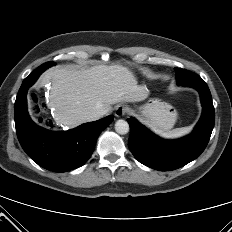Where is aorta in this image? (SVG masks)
<instances>
[{"instance_id":"aorta-1","label":"aorta","mask_w":232,"mask_h":232,"mask_svg":"<svg viewBox=\"0 0 232 232\" xmlns=\"http://www.w3.org/2000/svg\"><path fill=\"white\" fill-rule=\"evenodd\" d=\"M115 130L118 134H127L129 132V124L125 120H117L115 123Z\"/></svg>"}]
</instances>
